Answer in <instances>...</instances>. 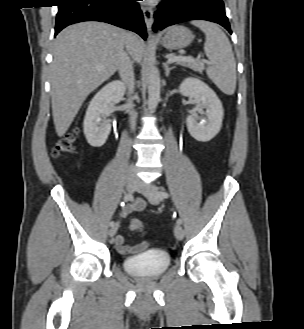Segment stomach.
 Segmentation results:
<instances>
[{"label":"stomach","instance_id":"obj_1","mask_svg":"<svg viewBox=\"0 0 304 329\" xmlns=\"http://www.w3.org/2000/svg\"><path fill=\"white\" fill-rule=\"evenodd\" d=\"M193 33L184 26H173L168 29L161 44L167 49H182L193 41Z\"/></svg>","mask_w":304,"mask_h":329}]
</instances>
